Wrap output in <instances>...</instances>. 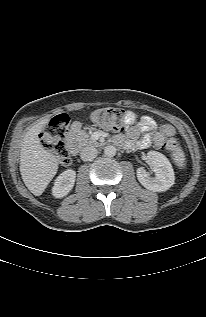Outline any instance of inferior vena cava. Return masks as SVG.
<instances>
[{
    "label": "inferior vena cava",
    "instance_id": "inferior-vena-cava-1",
    "mask_svg": "<svg viewBox=\"0 0 206 317\" xmlns=\"http://www.w3.org/2000/svg\"><path fill=\"white\" fill-rule=\"evenodd\" d=\"M97 149L93 146H88L82 149L80 157L83 161H91L97 156Z\"/></svg>",
    "mask_w": 206,
    "mask_h": 317
}]
</instances>
